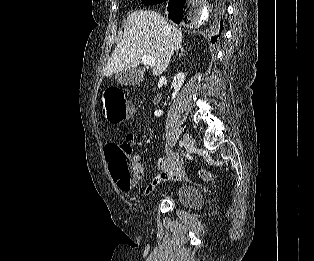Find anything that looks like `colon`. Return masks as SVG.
<instances>
[{"mask_svg": "<svg viewBox=\"0 0 314 261\" xmlns=\"http://www.w3.org/2000/svg\"><path fill=\"white\" fill-rule=\"evenodd\" d=\"M103 113L110 123H120L132 114V107L126 99L125 92L118 87L107 88L102 94ZM109 172L121 189H130L138 179L131 159L132 142L129 139L119 144H108L104 148ZM200 176L212 179V174L201 170Z\"/></svg>", "mask_w": 314, "mask_h": 261, "instance_id": "obj_1", "label": "colon"}]
</instances>
